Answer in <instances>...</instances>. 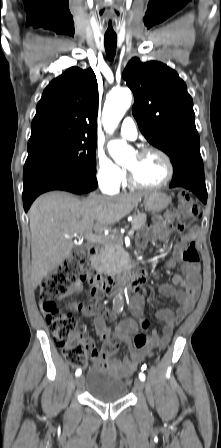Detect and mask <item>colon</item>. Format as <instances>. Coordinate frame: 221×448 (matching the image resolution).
I'll return each mask as SVG.
<instances>
[{"label": "colon", "mask_w": 221, "mask_h": 448, "mask_svg": "<svg viewBox=\"0 0 221 448\" xmlns=\"http://www.w3.org/2000/svg\"><path fill=\"white\" fill-rule=\"evenodd\" d=\"M180 221L187 225L193 217L199 214V210L191 198L185 192L178 196ZM183 259L187 263L197 264L199 253L195 244H189L183 251ZM89 253L85 250L72 252L69 258L61 265L50 271L41 281L38 289L40 307L46 316L57 348L63 353L67 362L74 367L86 369L87 350L93 347L90 338L81 333V323L71 315L59 311L56 300L70 294L76 287L95 280L96 274L89 269ZM144 327L148 323L144 322ZM147 342V336L139 333L134 338V346L142 348ZM130 380L127 381V384Z\"/></svg>", "instance_id": "colon-1"}]
</instances>
